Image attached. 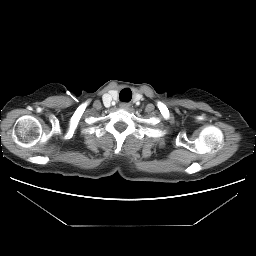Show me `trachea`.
Returning <instances> with one entry per match:
<instances>
[{
	"mask_svg": "<svg viewBox=\"0 0 256 256\" xmlns=\"http://www.w3.org/2000/svg\"><path fill=\"white\" fill-rule=\"evenodd\" d=\"M124 91H128V92H130V93H131V95H132V92H131V90H130V89H128V88L123 89V90L120 92V99H121L122 101H126V100L122 99V97H121V94H122V92H124ZM128 101H129V100H128Z\"/></svg>",
	"mask_w": 256,
	"mask_h": 256,
	"instance_id": "1",
	"label": "trachea"
}]
</instances>
